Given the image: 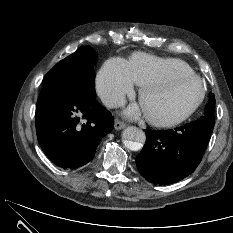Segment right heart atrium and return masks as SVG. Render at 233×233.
I'll return each instance as SVG.
<instances>
[{
	"label": "right heart atrium",
	"instance_id": "obj_1",
	"mask_svg": "<svg viewBox=\"0 0 233 233\" xmlns=\"http://www.w3.org/2000/svg\"><path fill=\"white\" fill-rule=\"evenodd\" d=\"M94 87L106 107L115 108L124 104L126 98L134 94V83L126 61L121 58L106 61L96 74Z\"/></svg>",
	"mask_w": 233,
	"mask_h": 233
}]
</instances>
